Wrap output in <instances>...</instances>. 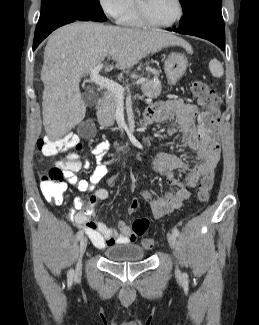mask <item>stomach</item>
Returning a JSON list of instances; mask_svg holds the SVG:
<instances>
[{
    "instance_id": "0dacf381",
    "label": "stomach",
    "mask_w": 259,
    "mask_h": 325,
    "mask_svg": "<svg viewBox=\"0 0 259 325\" xmlns=\"http://www.w3.org/2000/svg\"><path fill=\"white\" fill-rule=\"evenodd\" d=\"M188 66L187 58L178 52H171L164 64V71L166 73L168 83L173 85L177 83L184 75Z\"/></svg>"
}]
</instances>
